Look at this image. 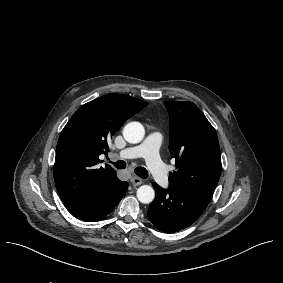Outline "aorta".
<instances>
[{"label":"aorta","mask_w":283,"mask_h":283,"mask_svg":"<svg viewBox=\"0 0 283 283\" xmlns=\"http://www.w3.org/2000/svg\"><path fill=\"white\" fill-rule=\"evenodd\" d=\"M144 135V127L139 122H130L123 128V137L129 143L137 144L141 142ZM137 198L141 203L149 204L155 198V191L149 185H142L137 190Z\"/></svg>","instance_id":"obj_1"}]
</instances>
